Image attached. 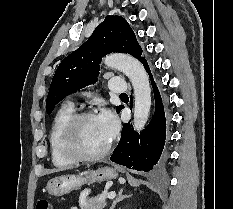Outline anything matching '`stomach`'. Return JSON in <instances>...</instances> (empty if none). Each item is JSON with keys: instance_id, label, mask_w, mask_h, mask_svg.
<instances>
[{"instance_id": "obj_1", "label": "stomach", "mask_w": 233, "mask_h": 209, "mask_svg": "<svg viewBox=\"0 0 233 209\" xmlns=\"http://www.w3.org/2000/svg\"><path fill=\"white\" fill-rule=\"evenodd\" d=\"M117 176L118 173L113 168L103 167L78 175L66 174L55 177L48 181L46 189L49 195L62 196L81 188L86 183L109 181L117 178Z\"/></svg>"}]
</instances>
